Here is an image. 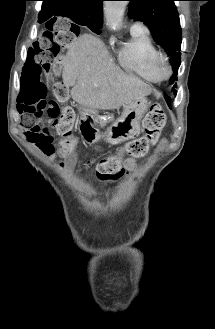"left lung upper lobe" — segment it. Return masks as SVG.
Masks as SVG:
<instances>
[{
    "mask_svg": "<svg viewBox=\"0 0 215 329\" xmlns=\"http://www.w3.org/2000/svg\"><path fill=\"white\" fill-rule=\"evenodd\" d=\"M129 16L135 20L143 21L151 30L154 40L161 45L170 58L174 75L171 83L177 80L180 66L181 36L179 14L174 1L176 0H128ZM173 93L176 91L173 87Z\"/></svg>",
    "mask_w": 215,
    "mask_h": 329,
    "instance_id": "left-lung-upper-lobe-1",
    "label": "left lung upper lobe"
}]
</instances>
